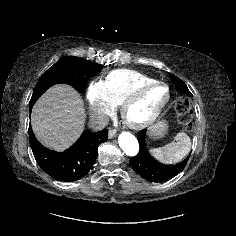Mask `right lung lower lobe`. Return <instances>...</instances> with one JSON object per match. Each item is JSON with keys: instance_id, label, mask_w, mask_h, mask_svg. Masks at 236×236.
<instances>
[{"instance_id": "obj_1", "label": "right lung lower lobe", "mask_w": 236, "mask_h": 236, "mask_svg": "<svg viewBox=\"0 0 236 236\" xmlns=\"http://www.w3.org/2000/svg\"><path fill=\"white\" fill-rule=\"evenodd\" d=\"M32 106L29 107L30 112ZM108 140V130L83 133L65 152L58 153L40 144L29 126V141L34 157L43 171L52 178L72 182L81 179L92 168L100 143Z\"/></svg>"}]
</instances>
